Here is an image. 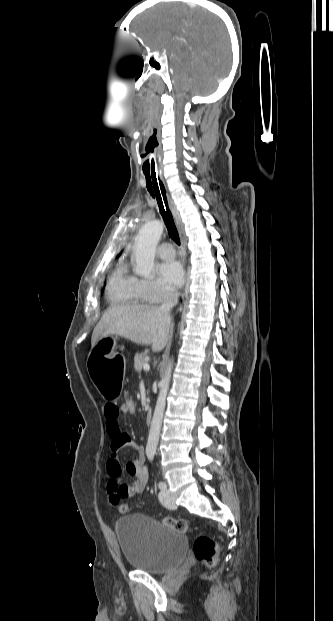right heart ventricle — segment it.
Masks as SVG:
<instances>
[{"label": "right heart ventricle", "mask_w": 333, "mask_h": 621, "mask_svg": "<svg viewBox=\"0 0 333 621\" xmlns=\"http://www.w3.org/2000/svg\"><path fill=\"white\" fill-rule=\"evenodd\" d=\"M107 298L116 304H141L146 301L139 279L131 274L125 262H120L112 272L107 286Z\"/></svg>", "instance_id": "obj_1"}]
</instances>
